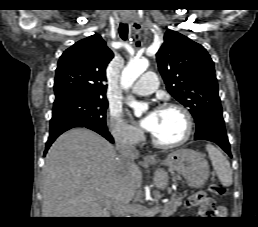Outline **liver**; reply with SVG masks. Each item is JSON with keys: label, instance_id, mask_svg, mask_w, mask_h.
<instances>
[{"label": "liver", "instance_id": "obj_1", "mask_svg": "<svg viewBox=\"0 0 258 227\" xmlns=\"http://www.w3.org/2000/svg\"><path fill=\"white\" fill-rule=\"evenodd\" d=\"M142 182L134 162L123 163L105 138L85 129L62 134L50 147L42 171L43 217H103L112 206L130 202ZM155 186L168 174L158 170Z\"/></svg>", "mask_w": 258, "mask_h": 227}]
</instances>
